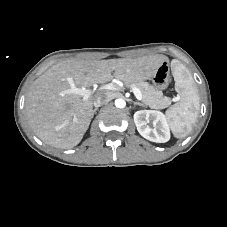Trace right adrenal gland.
I'll use <instances>...</instances> for the list:
<instances>
[{
    "instance_id": "obj_1",
    "label": "right adrenal gland",
    "mask_w": 227,
    "mask_h": 227,
    "mask_svg": "<svg viewBox=\"0 0 227 227\" xmlns=\"http://www.w3.org/2000/svg\"><path fill=\"white\" fill-rule=\"evenodd\" d=\"M98 110V108H95L93 111H92V115H94L96 113V111Z\"/></svg>"
}]
</instances>
